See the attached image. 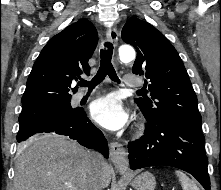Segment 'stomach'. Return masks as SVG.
I'll return each instance as SVG.
<instances>
[{
  "label": "stomach",
  "mask_w": 221,
  "mask_h": 190,
  "mask_svg": "<svg viewBox=\"0 0 221 190\" xmlns=\"http://www.w3.org/2000/svg\"><path fill=\"white\" fill-rule=\"evenodd\" d=\"M122 174H124L122 172ZM131 185L136 190H154L156 179L150 172H143L131 178Z\"/></svg>",
  "instance_id": "obj_1"
}]
</instances>
